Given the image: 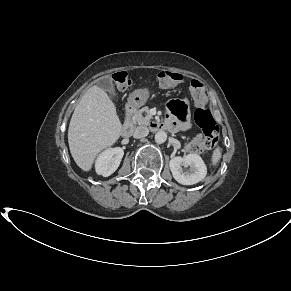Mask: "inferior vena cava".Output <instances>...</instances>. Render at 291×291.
<instances>
[{
    "label": "inferior vena cava",
    "mask_w": 291,
    "mask_h": 291,
    "mask_svg": "<svg viewBox=\"0 0 291 291\" xmlns=\"http://www.w3.org/2000/svg\"><path fill=\"white\" fill-rule=\"evenodd\" d=\"M148 134H149V129L146 126H138L133 132V137L142 138V137H146Z\"/></svg>",
    "instance_id": "602c4592"
}]
</instances>
